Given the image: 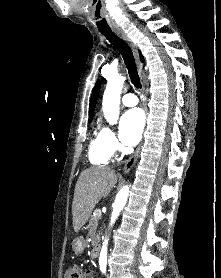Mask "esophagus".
Listing matches in <instances>:
<instances>
[{
	"label": "esophagus",
	"instance_id": "1",
	"mask_svg": "<svg viewBox=\"0 0 221 278\" xmlns=\"http://www.w3.org/2000/svg\"><path fill=\"white\" fill-rule=\"evenodd\" d=\"M114 32L116 33V35H118L120 38H122L125 42H127L130 45V47L133 50L134 56H135L138 71L140 74H142L143 64L141 63V61L139 59L138 51H137L135 45L131 42L129 37L122 30L114 29ZM140 150H141V144L138 146V148L136 149L134 154L125 163L124 168H123L124 173H127L134 166V164L136 163L137 158L139 156Z\"/></svg>",
	"mask_w": 221,
	"mask_h": 278
}]
</instances>
